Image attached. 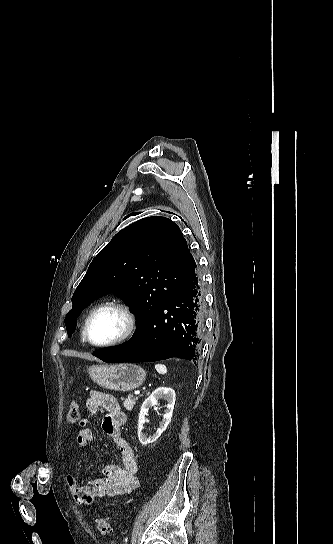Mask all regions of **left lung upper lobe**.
I'll return each instance as SVG.
<instances>
[{
  "instance_id": "left-lung-upper-lobe-1",
  "label": "left lung upper lobe",
  "mask_w": 333,
  "mask_h": 544,
  "mask_svg": "<svg viewBox=\"0 0 333 544\" xmlns=\"http://www.w3.org/2000/svg\"><path fill=\"white\" fill-rule=\"evenodd\" d=\"M196 267L180 228L170 219L152 216L127 226L93 259L75 290L65 318L68 337L82 309L109 292L129 302L140 325Z\"/></svg>"
}]
</instances>
